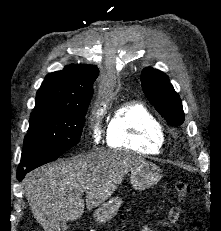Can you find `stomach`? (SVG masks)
<instances>
[{
  "instance_id": "obj_1",
  "label": "stomach",
  "mask_w": 221,
  "mask_h": 231,
  "mask_svg": "<svg viewBox=\"0 0 221 231\" xmlns=\"http://www.w3.org/2000/svg\"><path fill=\"white\" fill-rule=\"evenodd\" d=\"M161 170L151 162H143L131 170L130 183L136 190H144L157 184L161 179ZM122 200L114 197L104 202L93 213L97 222H106L112 219L118 212Z\"/></svg>"
}]
</instances>
